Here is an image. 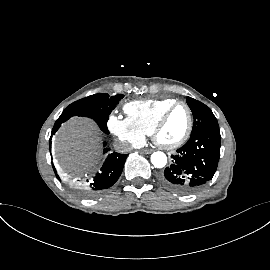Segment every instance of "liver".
Returning a JSON list of instances; mask_svg holds the SVG:
<instances>
[{
	"instance_id": "6515ba94",
	"label": "liver",
	"mask_w": 270,
	"mask_h": 270,
	"mask_svg": "<svg viewBox=\"0 0 270 270\" xmlns=\"http://www.w3.org/2000/svg\"><path fill=\"white\" fill-rule=\"evenodd\" d=\"M101 150L96 124L76 117L62 125L54 139V151L63 168L80 172L93 166Z\"/></svg>"
}]
</instances>
